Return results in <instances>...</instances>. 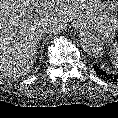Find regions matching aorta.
<instances>
[{
	"label": "aorta",
	"instance_id": "aorta-1",
	"mask_svg": "<svg viewBox=\"0 0 118 118\" xmlns=\"http://www.w3.org/2000/svg\"><path fill=\"white\" fill-rule=\"evenodd\" d=\"M80 44L89 56L100 57L103 53L102 43L92 34H83L80 38Z\"/></svg>",
	"mask_w": 118,
	"mask_h": 118
}]
</instances>
